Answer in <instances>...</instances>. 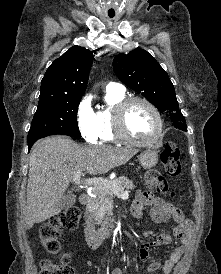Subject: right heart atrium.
I'll list each match as a JSON object with an SVG mask.
<instances>
[{
    "mask_svg": "<svg viewBox=\"0 0 221 274\" xmlns=\"http://www.w3.org/2000/svg\"><path fill=\"white\" fill-rule=\"evenodd\" d=\"M76 116L77 125L82 137L89 143H95L99 139V126L89 96H84L80 100Z\"/></svg>",
    "mask_w": 221,
    "mask_h": 274,
    "instance_id": "right-heart-atrium-1",
    "label": "right heart atrium"
}]
</instances>
